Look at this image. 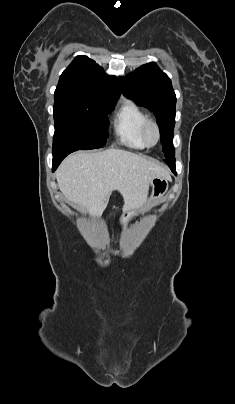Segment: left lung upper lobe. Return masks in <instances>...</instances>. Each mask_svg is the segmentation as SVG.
Instances as JSON below:
<instances>
[{"label":"left lung upper lobe","instance_id":"1","mask_svg":"<svg viewBox=\"0 0 235 404\" xmlns=\"http://www.w3.org/2000/svg\"><path fill=\"white\" fill-rule=\"evenodd\" d=\"M119 83L122 93L127 98L155 113L160 128L164 161L175 162L173 133L176 95L169 77L151 62L127 77H119Z\"/></svg>","mask_w":235,"mask_h":404}]
</instances>
